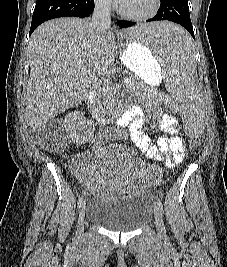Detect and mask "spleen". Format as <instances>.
I'll use <instances>...</instances> for the list:
<instances>
[{
  "instance_id": "spleen-1",
  "label": "spleen",
  "mask_w": 227,
  "mask_h": 267,
  "mask_svg": "<svg viewBox=\"0 0 227 267\" xmlns=\"http://www.w3.org/2000/svg\"><path fill=\"white\" fill-rule=\"evenodd\" d=\"M133 33H125V43H143L149 47L154 59L167 63L163 81H167L169 93L180 106L178 115H204L201 105L203 95L197 78L194 47L195 38H190L187 29L172 19H154L153 22H140L132 25ZM185 125V137L202 140L206 134L203 116H181Z\"/></svg>"
}]
</instances>
